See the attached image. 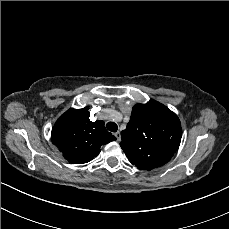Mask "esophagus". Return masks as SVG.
<instances>
[{
	"label": "esophagus",
	"instance_id": "obj_1",
	"mask_svg": "<svg viewBox=\"0 0 229 229\" xmlns=\"http://www.w3.org/2000/svg\"><path fill=\"white\" fill-rule=\"evenodd\" d=\"M114 135L116 136V138H117L118 141L121 140V134H120L119 131H117Z\"/></svg>",
	"mask_w": 229,
	"mask_h": 229
}]
</instances>
